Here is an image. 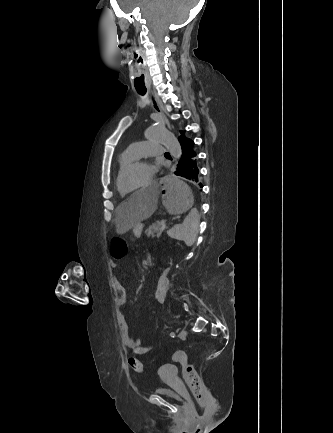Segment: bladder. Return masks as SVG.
<instances>
[{
	"label": "bladder",
	"mask_w": 333,
	"mask_h": 433,
	"mask_svg": "<svg viewBox=\"0 0 333 433\" xmlns=\"http://www.w3.org/2000/svg\"><path fill=\"white\" fill-rule=\"evenodd\" d=\"M153 391L159 396L168 398L170 400L179 401L183 399V396L180 393L165 386H156L153 388Z\"/></svg>",
	"instance_id": "31cf9c89"
}]
</instances>
